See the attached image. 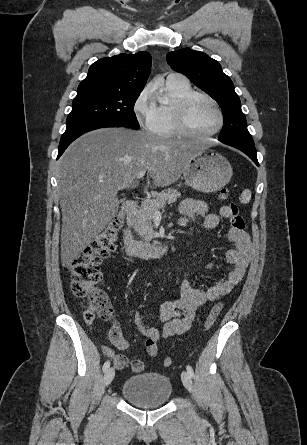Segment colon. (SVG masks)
Masks as SVG:
<instances>
[{
  "label": "colon",
  "mask_w": 307,
  "mask_h": 445,
  "mask_svg": "<svg viewBox=\"0 0 307 445\" xmlns=\"http://www.w3.org/2000/svg\"><path fill=\"white\" fill-rule=\"evenodd\" d=\"M220 200L229 198V190L223 188L219 192ZM229 221L232 228L244 230L245 222L239 213V208L235 203L229 205ZM122 217H115L95 238V240L69 265L71 277V290L79 298L86 299L84 317L86 321H93L96 317L104 321H112L113 325L109 332V339L115 346L124 344L120 327L114 322L115 313L109 302L107 295L98 288L102 281L101 264L114 251L119 231L122 227ZM222 310V303H216L205 322V329H209ZM173 364L171 357H166L163 361L165 367Z\"/></svg>",
  "instance_id": "1"
}]
</instances>
